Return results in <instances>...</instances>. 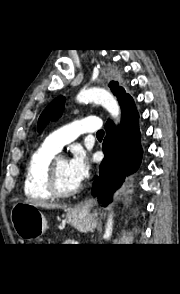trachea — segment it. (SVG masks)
<instances>
[{
	"instance_id": "trachea-1",
	"label": "trachea",
	"mask_w": 180,
	"mask_h": 294,
	"mask_svg": "<svg viewBox=\"0 0 180 294\" xmlns=\"http://www.w3.org/2000/svg\"><path fill=\"white\" fill-rule=\"evenodd\" d=\"M104 135V131L103 130H99L98 132H97V136H103Z\"/></svg>"
}]
</instances>
